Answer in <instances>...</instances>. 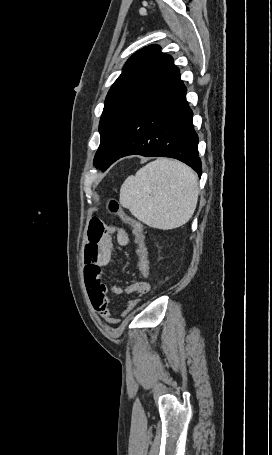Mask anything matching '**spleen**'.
<instances>
[{
	"mask_svg": "<svg viewBox=\"0 0 272 455\" xmlns=\"http://www.w3.org/2000/svg\"><path fill=\"white\" fill-rule=\"evenodd\" d=\"M198 180L187 165L159 158L127 177L120 203L150 227L173 229L186 224L198 201Z\"/></svg>",
	"mask_w": 272,
	"mask_h": 455,
	"instance_id": "obj_1",
	"label": "spleen"
}]
</instances>
